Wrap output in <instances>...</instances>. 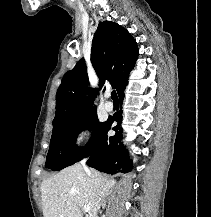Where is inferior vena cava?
<instances>
[{
	"label": "inferior vena cava",
	"mask_w": 211,
	"mask_h": 217,
	"mask_svg": "<svg viewBox=\"0 0 211 217\" xmlns=\"http://www.w3.org/2000/svg\"><path fill=\"white\" fill-rule=\"evenodd\" d=\"M86 161H87V159L85 158V159H83L82 161H81V164L83 165V167L87 170L88 168H87V166H86ZM96 217H98V216H96Z\"/></svg>",
	"instance_id": "inferior-vena-cava-1"
}]
</instances>
